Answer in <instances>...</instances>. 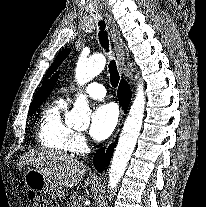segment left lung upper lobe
Segmentation results:
<instances>
[{
  "label": "left lung upper lobe",
  "instance_id": "obj_1",
  "mask_svg": "<svg viewBox=\"0 0 206 207\" xmlns=\"http://www.w3.org/2000/svg\"><path fill=\"white\" fill-rule=\"evenodd\" d=\"M70 49H65L63 51H61L57 57L55 58L54 62L52 63V65L49 67L47 74L44 78V81L46 80V78H48L56 69L57 67L61 64V62L67 57V55L70 53Z\"/></svg>",
  "mask_w": 206,
  "mask_h": 207
}]
</instances>
